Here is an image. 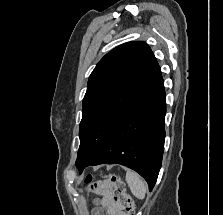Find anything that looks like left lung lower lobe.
Here are the masks:
<instances>
[{"instance_id":"1","label":"left lung lower lobe","mask_w":223,"mask_h":215,"mask_svg":"<svg viewBox=\"0 0 223 215\" xmlns=\"http://www.w3.org/2000/svg\"><path fill=\"white\" fill-rule=\"evenodd\" d=\"M166 97L161 71L142 96L107 135L90 161L79 169L99 164H121L139 173L151 191L161 168L164 150Z\"/></svg>"}]
</instances>
